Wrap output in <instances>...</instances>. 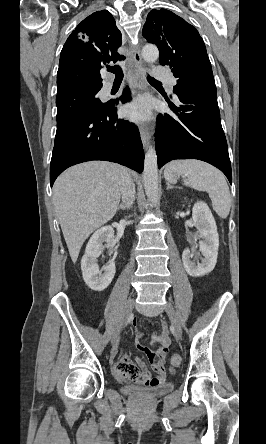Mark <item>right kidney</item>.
<instances>
[{"instance_id":"obj_1","label":"right kidney","mask_w":266,"mask_h":444,"mask_svg":"<svg viewBox=\"0 0 266 444\" xmlns=\"http://www.w3.org/2000/svg\"><path fill=\"white\" fill-rule=\"evenodd\" d=\"M113 237L114 230L112 227L105 226L98 229L90 238L86 246L85 255L81 260L83 279L88 287L94 291H103L114 278L116 272L114 261H109L103 270H99L97 263V258L103 250L104 242H106V247L110 251L113 250L115 246Z\"/></svg>"}]
</instances>
